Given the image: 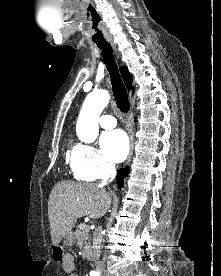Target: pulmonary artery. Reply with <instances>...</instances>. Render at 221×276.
<instances>
[{
    "label": "pulmonary artery",
    "mask_w": 221,
    "mask_h": 276,
    "mask_svg": "<svg viewBox=\"0 0 221 276\" xmlns=\"http://www.w3.org/2000/svg\"><path fill=\"white\" fill-rule=\"evenodd\" d=\"M99 124L104 129H112L117 125L116 119L111 115H102Z\"/></svg>",
    "instance_id": "e3ab8cb5"
}]
</instances>
